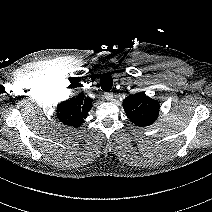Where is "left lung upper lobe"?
Returning a JSON list of instances; mask_svg holds the SVG:
<instances>
[{"mask_svg":"<svg viewBox=\"0 0 212 212\" xmlns=\"http://www.w3.org/2000/svg\"><path fill=\"white\" fill-rule=\"evenodd\" d=\"M123 107L130 121L139 127L153 124L159 113L158 102L143 93L126 97Z\"/></svg>","mask_w":212,"mask_h":212,"instance_id":"1","label":"left lung upper lobe"}]
</instances>
